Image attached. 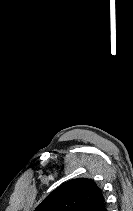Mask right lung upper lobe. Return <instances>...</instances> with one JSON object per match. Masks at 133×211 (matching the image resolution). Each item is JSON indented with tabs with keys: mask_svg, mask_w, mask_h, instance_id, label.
<instances>
[{
	"mask_svg": "<svg viewBox=\"0 0 133 211\" xmlns=\"http://www.w3.org/2000/svg\"><path fill=\"white\" fill-rule=\"evenodd\" d=\"M35 211H106L101 189L88 178L70 180L52 191Z\"/></svg>",
	"mask_w": 133,
	"mask_h": 211,
	"instance_id": "obj_1",
	"label": "right lung upper lobe"
}]
</instances>
